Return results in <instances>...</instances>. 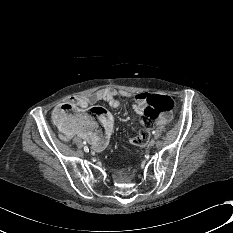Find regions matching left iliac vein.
I'll list each match as a JSON object with an SVG mask.
<instances>
[{
  "mask_svg": "<svg viewBox=\"0 0 233 233\" xmlns=\"http://www.w3.org/2000/svg\"><path fill=\"white\" fill-rule=\"evenodd\" d=\"M148 145L149 147H153L155 145V140L154 139L151 140Z\"/></svg>",
  "mask_w": 233,
  "mask_h": 233,
  "instance_id": "1",
  "label": "left iliac vein"
}]
</instances>
